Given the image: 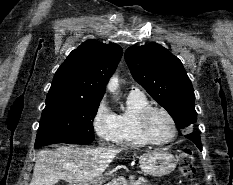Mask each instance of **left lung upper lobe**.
I'll return each mask as SVG.
<instances>
[{"mask_svg": "<svg viewBox=\"0 0 233 185\" xmlns=\"http://www.w3.org/2000/svg\"><path fill=\"white\" fill-rule=\"evenodd\" d=\"M125 60L133 78L174 119L181 129L197 120L192 83L181 61L157 43L131 46Z\"/></svg>", "mask_w": 233, "mask_h": 185, "instance_id": "1", "label": "left lung upper lobe"}]
</instances>
